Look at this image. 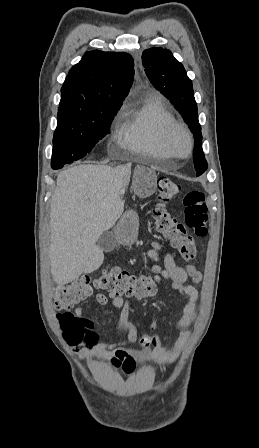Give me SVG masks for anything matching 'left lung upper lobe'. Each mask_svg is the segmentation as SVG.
<instances>
[{"label":"left lung upper lobe","instance_id":"5c2ea615","mask_svg":"<svg viewBox=\"0 0 259 448\" xmlns=\"http://www.w3.org/2000/svg\"><path fill=\"white\" fill-rule=\"evenodd\" d=\"M142 63L151 83L170 99L194 134L195 169L197 173H203L208 164L202 151L201 126L198 122L192 81L188 78L185 68L174 58L170 50L160 47L145 50L142 53Z\"/></svg>","mask_w":259,"mask_h":448}]
</instances>
